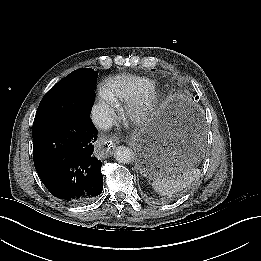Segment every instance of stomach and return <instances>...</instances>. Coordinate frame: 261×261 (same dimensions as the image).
<instances>
[{
	"label": "stomach",
	"mask_w": 261,
	"mask_h": 261,
	"mask_svg": "<svg viewBox=\"0 0 261 261\" xmlns=\"http://www.w3.org/2000/svg\"><path fill=\"white\" fill-rule=\"evenodd\" d=\"M191 115L185 98L169 97L150 121L133 134L138 166L145 176L153 179L165 171H181L197 161L200 141L186 128Z\"/></svg>",
	"instance_id": "obj_1"
}]
</instances>
